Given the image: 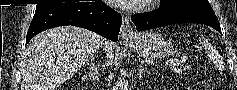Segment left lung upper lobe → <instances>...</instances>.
<instances>
[{
    "instance_id": "left-lung-upper-lobe-1",
    "label": "left lung upper lobe",
    "mask_w": 237,
    "mask_h": 90,
    "mask_svg": "<svg viewBox=\"0 0 237 90\" xmlns=\"http://www.w3.org/2000/svg\"><path fill=\"white\" fill-rule=\"evenodd\" d=\"M165 8H189L214 12L207 0H162Z\"/></svg>"
}]
</instances>
